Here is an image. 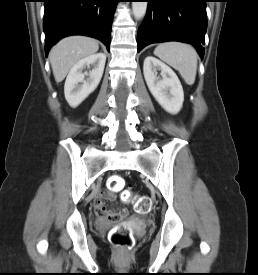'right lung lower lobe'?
<instances>
[{
  "mask_svg": "<svg viewBox=\"0 0 258 275\" xmlns=\"http://www.w3.org/2000/svg\"><path fill=\"white\" fill-rule=\"evenodd\" d=\"M120 0H44L45 53L60 39L85 35L102 41L110 50L112 19Z\"/></svg>",
  "mask_w": 258,
  "mask_h": 275,
  "instance_id": "right-lung-lower-lobe-1",
  "label": "right lung lower lobe"
}]
</instances>
